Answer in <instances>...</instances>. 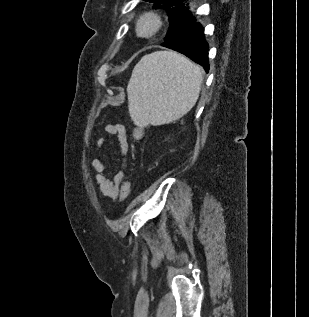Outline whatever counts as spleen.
Listing matches in <instances>:
<instances>
[{
	"mask_svg": "<svg viewBox=\"0 0 309 317\" xmlns=\"http://www.w3.org/2000/svg\"><path fill=\"white\" fill-rule=\"evenodd\" d=\"M201 68L172 51H156L136 64L127 86L128 109L138 126H157L187 114L201 91Z\"/></svg>",
	"mask_w": 309,
	"mask_h": 317,
	"instance_id": "3e777b00",
	"label": "spleen"
}]
</instances>
